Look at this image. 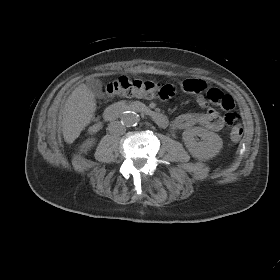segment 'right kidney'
<instances>
[{"mask_svg": "<svg viewBox=\"0 0 280 280\" xmlns=\"http://www.w3.org/2000/svg\"><path fill=\"white\" fill-rule=\"evenodd\" d=\"M93 144H94V139H88L82 144V149H84V151H87L93 146Z\"/></svg>", "mask_w": 280, "mask_h": 280, "instance_id": "right-kidney-1", "label": "right kidney"}]
</instances>
